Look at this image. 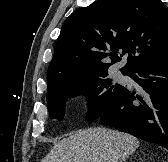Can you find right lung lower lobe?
Here are the masks:
<instances>
[{
	"label": "right lung lower lobe",
	"mask_w": 168,
	"mask_h": 162,
	"mask_svg": "<svg viewBox=\"0 0 168 162\" xmlns=\"http://www.w3.org/2000/svg\"><path fill=\"white\" fill-rule=\"evenodd\" d=\"M127 75L140 88L124 87L100 116L101 123L168 149V53Z\"/></svg>",
	"instance_id": "1"
}]
</instances>
